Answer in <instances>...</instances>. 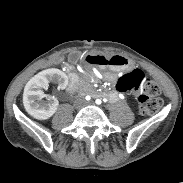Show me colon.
Here are the masks:
<instances>
[{"mask_svg": "<svg viewBox=\"0 0 183 183\" xmlns=\"http://www.w3.org/2000/svg\"><path fill=\"white\" fill-rule=\"evenodd\" d=\"M94 64H113L122 65L125 63L123 58H106L95 56L90 58ZM117 89L121 92L136 90L139 92L138 101L141 112L146 115H153L162 106L161 89L159 85L141 71L133 70L121 75L117 82Z\"/></svg>", "mask_w": 183, "mask_h": 183, "instance_id": "obj_1", "label": "colon"}]
</instances>
